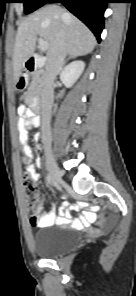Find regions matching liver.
Wrapping results in <instances>:
<instances>
[{"label":"liver","instance_id":"liver-1","mask_svg":"<svg viewBox=\"0 0 136 296\" xmlns=\"http://www.w3.org/2000/svg\"><path fill=\"white\" fill-rule=\"evenodd\" d=\"M64 28L66 51L70 56H82L93 51L96 45L93 33L62 7L47 5L27 17L18 27L13 52L15 83L19 81L25 62L35 52L37 37L40 36L48 42L49 57L61 39Z\"/></svg>","mask_w":136,"mask_h":296}]
</instances>
